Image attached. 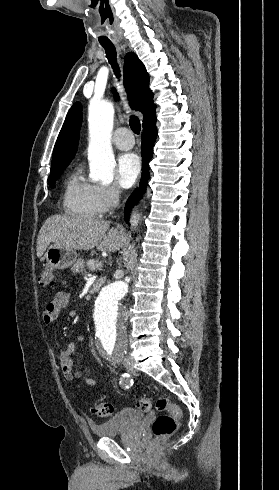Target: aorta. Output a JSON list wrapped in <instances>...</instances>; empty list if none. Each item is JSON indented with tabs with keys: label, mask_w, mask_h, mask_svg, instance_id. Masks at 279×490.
<instances>
[{
	"label": "aorta",
	"mask_w": 279,
	"mask_h": 490,
	"mask_svg": "<svg viewBox=\"0 0 279 490\" xmlns=\"http://www.w3.org/2000/svg\"><path fill=\"white\" fill-rule=\"evenodd\" d=\"M114 108L107 101L93 102L89 106V147L88 160L90 174L102 183L113 181L116 165L111 147ZM137 225V221L133 225ZM128 285L116 281L104 286L94 302V333L98 344L110 347L126 342V312L120 304L127 294Z\"/></svg>",
	"instance_id": "obj_1"
}]
</instances>
